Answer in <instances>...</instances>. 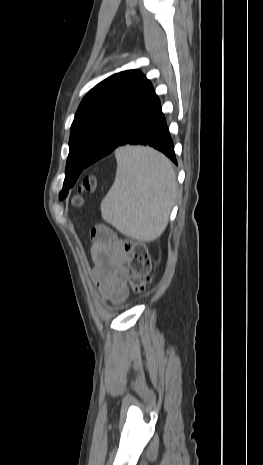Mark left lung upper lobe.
I'll use <instances>...</instances> for the list:
<instances>
[{"mask_svg": "<svg viewBox=\"0 0 263 465\" xmlns=\"http://www.w3.org/2000/svg\"><path fill=\"white\" fill-rule=\"evenodd\" d=\"M146 80L137 70L122 71L97 84L84 97L71 126L68 155L71 168L65 174L59 194L61 200L85 168L103 132L117 113L138 95Z\"/></svg>", "mask_w": 263, "mask_h": 465, "instance_id": "obj_1", "label": "left lung upper lobe"}]
</instances>
